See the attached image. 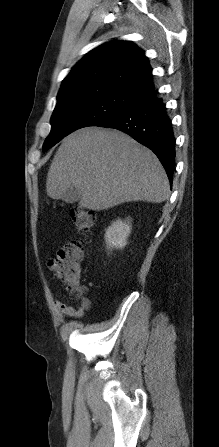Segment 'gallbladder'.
<instances>
[{
    "instance_id": "gallbladder-1",
    "label": "gallbladder",
    "mask_w": 219,
    "mask_h": 447,
    "mask_svg": "<svg viewBox=\"0 0 219 447\" xmlns=\"http://www.w3.org/2000/svg\"><path fill=\"white\" fill-rule=\"evenodd\" d=\"M79 199H80L79 190H77L75 187L69 188L66 194L62 198L63 201L70 204L78 202Z\"/></svg>"
}]
</instances>
